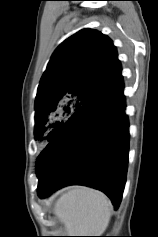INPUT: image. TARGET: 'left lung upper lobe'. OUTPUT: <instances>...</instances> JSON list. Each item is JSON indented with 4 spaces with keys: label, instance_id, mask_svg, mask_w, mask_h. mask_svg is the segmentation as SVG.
<instances>
[{
    "label": "left lung upper lobe",
    "instance_id": "left-lung-upper-lobe-1",
    "mask_svg": "<svg viewBox=\"0 0 158 237\" xmlns=\"http://www.w3.org/2000/svg\"><path fill=\"white\" fill-rule=\"evenodd\" d=\"M122 81L113 42L82 29L53 53L35 100V140L51 141L66 120L100 92ZM39 181L42 174L36 171Z\"/></svg>",
    "mask_w": 158,
    "mask_h": 237
}]
</instances>
